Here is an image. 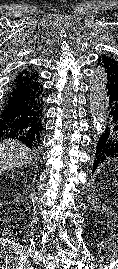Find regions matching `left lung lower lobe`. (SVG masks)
<instances>
[{
	"instance_id": "left-lung-lower-lobe-1",
	"label": "left lung lower lobe",
	"mask_w": 118,
	"mask_h": 269,
	"mask_svg": "<svg viewBox=\"0 0 118 269\" xmlns=\"http://www.w3.org/2000/svg\"><path fill=\"white\" fill-rule=\"evenodd\" d=\"M105 128L97 143L93 172L104 161L118 157V94L106 91Z\"/></svg>"
}]
</instances>
